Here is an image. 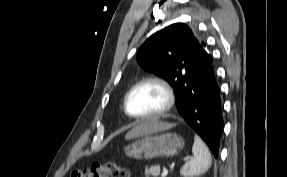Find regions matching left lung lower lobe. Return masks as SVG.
Masks as SVG:
<instances>
[{
	"mask_svg": "<svg viewBox=\"0 0 287 177\" xmlns=\"http://www.w3.org/2000/svg\"><path fill=\"white\" fill-rule=\"evenodd\" d=\"M213 58L186 86L177 110L183 120L206 142L218 157L223 128L219 87L212 65Z\"/></svg>",
	"mask_w": 287,
	"mask_h": 177,
	"instance_id": "1",
	"label": "left lung lower lobe"
}]
</instances>
